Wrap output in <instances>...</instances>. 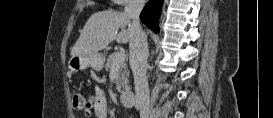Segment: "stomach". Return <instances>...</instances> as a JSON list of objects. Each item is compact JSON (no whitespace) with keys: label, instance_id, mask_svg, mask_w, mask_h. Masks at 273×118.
<instances>
[{"label":"stomach","instance_id":"obj_1","mask_svg":"<svg viewBox=\"0 0 273 118\" xmlns=\"http://www.w3.org/2000/svg\"><path fill=\"white\" fill-rule=\"evenodd\" d=\"M105 62V56L101 53H92L88 55H74L68 62V68L72 72H79L91 67L96 71L102 70Z\"/></svg>","mask_w":273,"mask_h":118}]
</instances>
